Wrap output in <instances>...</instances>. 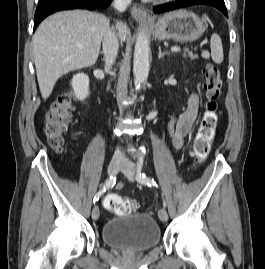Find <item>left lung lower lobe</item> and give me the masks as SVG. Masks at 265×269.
I'll return each instance as SVG.
<instances>
[{
  "instance_id": "obj_1",
  "label": "left lung lower lobe",
  "mask_w": 265,
  "mask_h": 269,
  "mask_svg": "<svg viewBox=\"0 0 265 269\" xmlns=\"http://www.w3.org/2000/svg\"><path fill=\"white\" fill-rule=\"evenodd\" d=\"M192 5H209L217 8L221 12H223L224 15L228 17L227 14V9L224 3V0H183L180 3L170 6V7H163V8H157L155 9V12L157 14L180 9V8H185L188 6Z\"/></svg>"
}]
</instances>
